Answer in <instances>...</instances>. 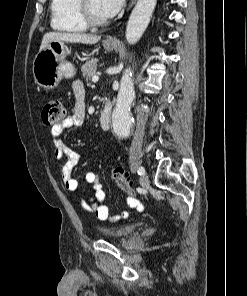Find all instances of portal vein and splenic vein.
Instances as JSON below:
<instances>
[{
  "mask_svg": "<svg viewBox=\"0 0 247 296\" xmlns=\"http://www.w3.org/2000/svg\"><path fill=\"white\" fill-rule=\"evenodd\" d=\"M99 80V76L98 75H94L93 77H92V82H97Z\"/></svg>",
  "mask_w": 247,
  "mask_h": 296,
  "instance_id": "portal-vein-and-splenic-vein-1",
  "label": "portal vein and splenic vein"
}]
</instances>
